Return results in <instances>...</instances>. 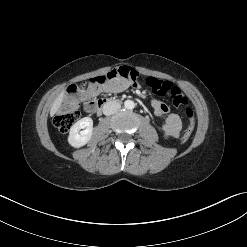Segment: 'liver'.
<instances>
[{
  "label": "liver",
  "mask_w": 247,
  "mask_h": 247,
  "mask_svg": "<svg viewBox=\"0 0 247 247\" xmlns=\"http://www.w3.org/2000/svg\"><path fill=\"white\" fill-rule=\"evenodd\" d=\"M64 98V91L59 94V96L53 102L51 109H50V116L53 117L60 109L62 105V101Z\"/></svg>",
  "instance_id": "liver-1"
}]
</instances>
